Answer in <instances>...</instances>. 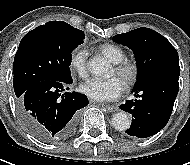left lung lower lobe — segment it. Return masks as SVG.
<instances>
[{"instance_id":"obj_1","label":"left lung lower lobe","mask_w":190,"mask_h":165,"mask_svg":"<svg viewBox=\"0 0 190 165\" xmlns=\"http://www.w3.org/2000/svg\"><path fill=\"white\" fill-rule=\"evenodd\" d=\"M180 71L157 72L135 85L136 100L119 106L132 114V124L126 133L139 138L158 133L168 122L179 89Z\"/></svg>"}]
</instances>
